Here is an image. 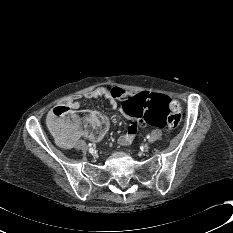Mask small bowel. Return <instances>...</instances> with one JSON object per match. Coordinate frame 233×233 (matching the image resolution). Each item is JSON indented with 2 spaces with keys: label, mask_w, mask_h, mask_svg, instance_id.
<instances>
[{
  "label": "small bowel",
  "mask_w": 233,
  "mask_h": 233,
  "mask_svg": "<svg viewBox=\"0 0 233 233\" xmlns=\"http://www.w3.org/2000/svg\"><path fill=\"white\" fill-rule=\"evenodd\" d=\"M140 93H143V92H140ZM144 93H148V92H144ZM137 94L139 93H129L125 91L124 89L116 87V86H105V87H100L92 91H89L85 93L83 97L88 100L96 99L99 97H104L105 99H107V101L109 102V104L111 105L113 109L119 110V105H118L119 101L127 97H135ZM65 105L68 106L71 109V111H76L80 108V103L75 99L66 100ZM127 119L129 120V126L126 132L123 133L118 139V142L124 146L131 144L136 138L138 131H139L140 118L138 119L127 118ZM82 136H89L93 141H99L103 137V133L97 132L93 134L92 133L88 134V133L82 132V133L75 134V135L56 136V141L60 147L68 149V148H71L73 144L75 143V141Z\"/></svg>",
  "instance_id": "small-bowel-1"
}]
</instances>
